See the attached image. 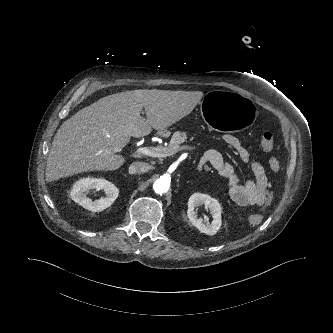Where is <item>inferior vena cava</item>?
Listing matches in <instances>:
<instances>
[{"label": "inferior vena cava", "instance_id": "1", "mask_svg": "<svg viewBox=\"0 0 333 333\" xmlns=\"http://www.w3.org/2000/svg\"><path fill=\"white\" fill-rule=\"evenodd\" d=\"M151 166L145 162H133L129 167V172L132 174L146 173L150 170Z\"/></svg>", "mask_w": 333, "mask_h": 333}]
</instances>
